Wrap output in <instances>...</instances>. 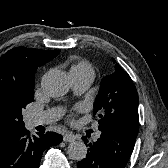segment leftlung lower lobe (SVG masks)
<instances>
[{
	"label": "left lung lower lobe",
	"instance_id": "0a47b994",
	"mask_svg": "<svg viewBox=\"0 0 168 168\" xmlns=\"http://www.w3.org/2000/svg\"><path fill=\"white\" fill-rule=\"evenodd\" d=\"M99 130L101 136L96 142L88 143L86 137L82 138L89 148L86 158L78 162V168H124L137 135L115 127Z\"/></svg>",
	"mask_w": 168,
	"mask_h": 168
}]
</instances>
